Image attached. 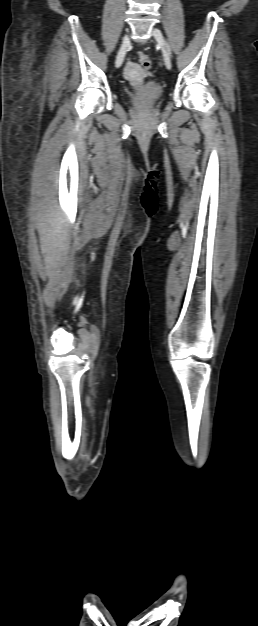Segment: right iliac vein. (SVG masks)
<instances>
[{"label": "right iliac vein", "mask_w": 258, "mask_h": 626, "mask_svg": "<svg viewBox=\"0 0 258 626\" xmlns=\"http://www.w3.org/2000/svg\"><path fill=\"white\" fill-rule=\"evenodd\" d=\"M129 44H130V39L126 35V36L123 37L122 44H121V47L119 49V52H118V55H117V58H116L115 66L117 68H119L121 66V64H122V62L124 60L125 54H126V49L129 46Z\"/></svg>", "instance_id": "63e3f726"}]
</instances>
